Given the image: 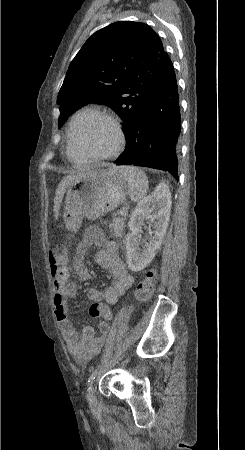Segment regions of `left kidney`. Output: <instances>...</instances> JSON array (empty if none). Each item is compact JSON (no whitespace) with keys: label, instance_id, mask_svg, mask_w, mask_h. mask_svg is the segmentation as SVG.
I'll return each mask as SVG.
<instances>
[{"label":"left kidney","instance_id":"obj_1","mask_svg":"<svg viewBox=\"0 0 245 450\" xmlns=\"http://www.w3.org/2000/svg\"><path fill=\"white\" fill-rule=\"evenodd\" d=\"M171 204L168 186L160 183L151 195L143 198L135 207L128 223L130 233L125 240L126 259L131 271L143 270L160 249L170 219ZM144 220L151 222L154 230H149V241L142 246L140 234Z\"/></svg>","mask_w":245,"mask_h":450}]
</instances>
